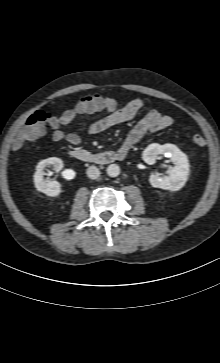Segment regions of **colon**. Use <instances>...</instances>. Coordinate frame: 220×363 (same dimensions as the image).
I'll use <instances>...</instances> for the list:
<instances>
[{
  "label": "colon",
  "instance_id": "obj_1",
  "mask_svg": "<svg viewBox=\"0 0 220 363\" xmlns=\"http://www.w3.org/2000/svg\"><path fill=\"white\" fill-rule=\"evenodd\" d=\"M53 118L52 112L47 109H40L29 115L14 140V147L19 148L24 143L41 137L46 123L50 122ZM193 142L195 145L202 147L206 144V139L203 135L196 134L193 136Z\"/></svg>",
  "mask_w": 220,
  "mask_h": 363
}]
</instances>
